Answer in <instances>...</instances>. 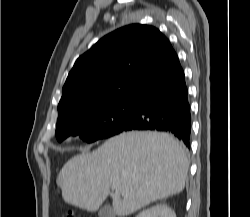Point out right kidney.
Instances as JSON below:
<instances>
[{"label":"right kidney","instance_id":"ca27d5eb","mask_svg":"<svg viewBox=\"0 0 250 217\" xmlns=\"http://www.w3.org/2000/svg\"><path fill=\"white\" fill-rule=\"evenodd\" d=\"M136 217H176V214L169 206L161 203L143 210Z\"/></svg>","mask_w":250,"mask_h":217}]
</instances>
